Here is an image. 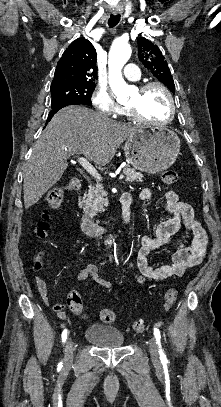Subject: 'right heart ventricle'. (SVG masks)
<instances>
[{"instance_id": "right-heart-ventricle-1", "label": "right heart ventricle", "mask_w": 221, "mask_h": 407, "mask_svg": "<svg viewBox=\"0 0 221 407\" xmlns=\"http://www.w3.org/2000/svg\"><path fill=\"white\" fill-rule=\"evenodd\" d=\"M121 115H128L127 111L124 108H121V111L119 112Z\"/></svg>"}]
</instances>
